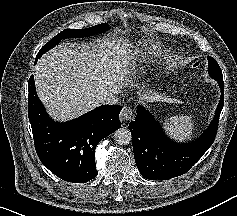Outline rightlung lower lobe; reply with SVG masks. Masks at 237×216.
<instances>
[{
  "mask_svg": "<svg viewBox=\"0 0 237 216\" xmlns=\"http://www.w3.org/2000/svg\"><path fill=\"white\" fill-rule=\"evenodd\" d=\"M37 62V61H35ZM28 112L36 152L43 165L57 177L73 183L95 178V148L121 127V107L100 106L75 120L54 122L39 100L33 75L28 82Z\"/></svg>",
  "mask_w": 237,
  "mask_h": 216,
  "instance_id": "right-lung-lower-lobe-1",
  "label": "right lung lower lobe"
}]
</instances>
